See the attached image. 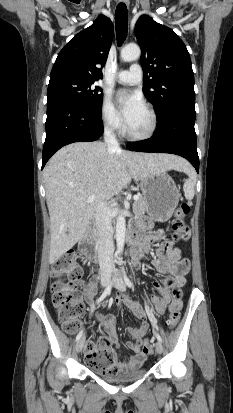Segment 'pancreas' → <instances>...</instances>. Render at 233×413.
I'll return each mask as SVG.
<instances>
[{
    "label": "pancreas",
    "mask_w": 233,
    "mask_h": 413,
    "mask_svg": "<svg viewBox=\"0 0 233 413\" xmlns=\"http://www.w3.org/2000/svg\"><path fill=\"white\" fill-rule=\"evenodd\" d=\"M147 202L143 196H139L138 200L133 203V212L135 216H141L147 211Z\"/></svg>",
    "instance_id": "cf45deb5"
}]
</instances>
